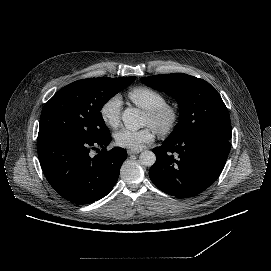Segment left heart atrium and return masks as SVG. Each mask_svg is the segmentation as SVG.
Wrapping results in <instances>:
<instances>
[{"label": "left heart atrium", "mask_w": 271, "mask_h": 271, "mask_svg": "<svg viewBox=\"0 0 271 271\" xmlns=\"http://www.w3.org/2000/svg\"><path fill=\"white\" fill-rule=\"evenodd\" d=\"M153 140L154 131L149 126L139 130L122 129L115 134L116 144L130 150H140Z\"/></svg>", "instance_id": "left-heart-atrium-1"}]
</instances>
